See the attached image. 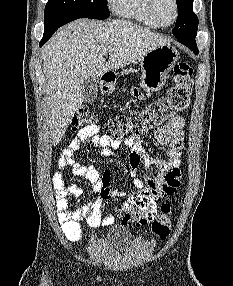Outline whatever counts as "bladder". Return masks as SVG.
I'll return each mask as SVG.
<instances>
[{
  "label": "bladder",
  "mask_w": 233,
  "mask_h": 286,
  "mask_svg": "<svg viewBox=\"0 0 233 286\" xmlns=\"http://www.w3.org/2000/svg\"><path fill=\"white\" fill-rule=\"evenodd\" d=\"M133 242L132 233L123 226L113 227L105 237V244L110 250L123 252Z\"/></svg>",
  "instance_id": "1"
}]
</instances>
